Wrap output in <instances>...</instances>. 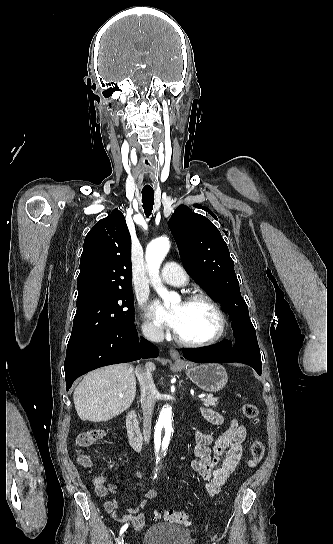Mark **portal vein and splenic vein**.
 <instances>
[{
    "label": "portal vein and splenic vein",
    "instance_id": "portal-vein-and-splenic-vein-1",
    "mask_svg": "<svg viewBox=\"0 0 333 544\" xmlns=\"http://www.w3.org/2000/svg\"><path fill=\"white\" fill-rule=\"evenodd\" d=\"M119 396H120V397H123L122 394H120ZM204 397H205V394H199V395H198V398H204Z\"/></svg>",
    "mask_w": 333,
    "mask_h": 544
}]
</instances>
